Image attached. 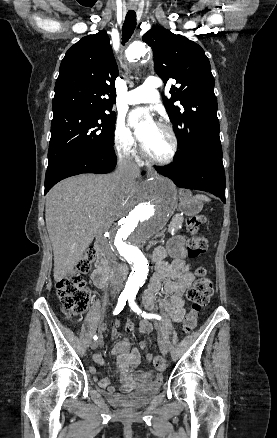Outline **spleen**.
I'll use <instances>...</instances> for the list:
<instances>
[{"label": "spleen", "mask_w": 277, "mask_h": 438, "mask_svg": "<svg viewBox=\"0 0 277 438\" xmlns=\"http://www.w3.org/2000/svg\"><path fill=\"white\" fill-rule=\"evenodd\" d=\"M198 200H205V202H209V198H206V196H196Z\"/></svg>", "instance_id": "spleen-1"}]
</instances>
